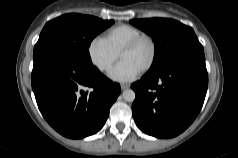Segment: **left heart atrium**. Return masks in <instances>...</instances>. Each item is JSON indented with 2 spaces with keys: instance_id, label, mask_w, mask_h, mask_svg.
Instances as JSON below:
<instances>
[{
  "instance_id": "obj_1",
  "label": "left heart atrium",
  "mask_w": 238,
  "mask_h": 158,
  "mask_svg": "<svg viewBox=\"0 0 238 158\" xmlns=\"http://www.w3.org/2000/svg\"><path fill=\"white\" fill-rule=\"evenodd\" d=\"M140 69L128 61L122 60L111 71L109 76L116 81L125 82L135 78Z\"/></svg>"
}]
</instances>
